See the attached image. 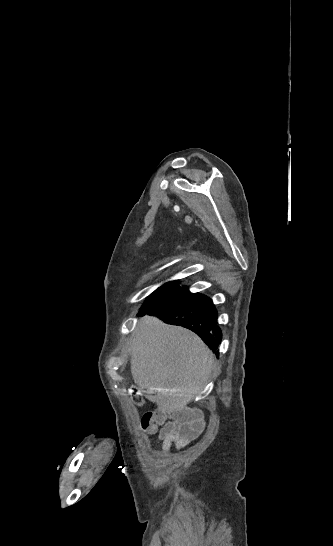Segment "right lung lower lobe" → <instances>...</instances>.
Returning <instances> with one entry per match:
<instances>
[{"label":"right lung lower lobe","mask_w":333,"mask_h":546,"mask_svg":"<svg viewBox=\"0 0 333 546\" xmlns=\"http://www.w3.org/2000/svg\"><path fill=\"white\" fill-rule=\"evenodd\" d=\"M161 318L164 322L183 326L195 332L215 352L221 343L222 333L217 324V311L211 299L194 293L168 301L151 310L139 312ZM218 354V351L216 352Z\"/></svg>","instance_id":"1"}]
</instances>
